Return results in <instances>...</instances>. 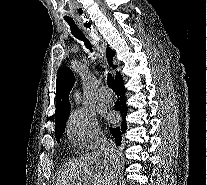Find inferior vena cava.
I'll return each instance as SVG.
<instances>
[{"label":"inferior vena cava","instance_id":"inferior-vena-cava-1","mask_svg":"<svg viewBox=\"0 0 207 185\" xmlns=\"http://www.w3.org/2000/svg\"><path fill=\"white\" fill-rule=\"evenodd\" d=\"M107 149H111V147H107ZM111 153H113V149H111ZM111 161H112V163H115V161H116V165H119V161H118L117 157H114V155H113ZM113 179H114V177H111L110 181H113ZM108 185H114V181H113V183H108Z\"/></svg>","mask_w":207,"mask_h":185}]
</instances>
